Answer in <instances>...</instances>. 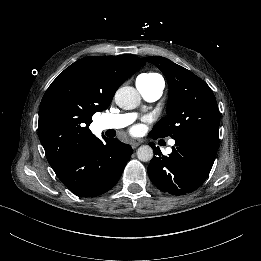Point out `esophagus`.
Returning <instances> with one entry per match:
<instances>
[{
  "instance_id": "obj_1",
  "label": "esophagus",
  "mask_w": 261,
  "mask_h": 261,
  "mask_svg": "<svg viewBox=\"0 0 261 261\" xmlns=\"http://www.w3.org/2000/svg\"><path fill=\"white\" fill-rule=\"evenodd\" d=\"M143 141H135L131 143L133 149H136L139 145L142 144Z\"/></svg>"
}]
</instances>
